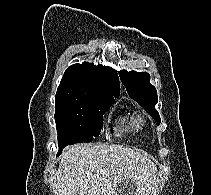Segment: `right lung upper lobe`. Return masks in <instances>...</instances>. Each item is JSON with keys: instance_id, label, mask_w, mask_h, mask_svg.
Returning <instances> with one entry per match:
<instances>
[{"instance_id": "cb5924a9", "label": "right lung upper lobe", "mask_w": 211, "mask_h": 195, "mask_svg": "<svg viewBox=\"0 0 211 195\" xmlns=\"http://www.w3.org/2000/svg\"><path fill=\"white\" fill-rule=\"evenodd\" d=\"M118 75L110 67L83 62L71 65L64 73L55 99L114 102L119 97Z\"/></svg>"}]
</instances>
